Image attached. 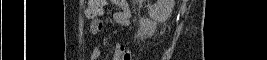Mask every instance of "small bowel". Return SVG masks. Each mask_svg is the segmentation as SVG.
<instances>
[{
	"instance_id": "small-bowel-1",
	"label": "small bowel",
	"mask_w": 267,
	"mask_h": 60,
	"mask_svg": "<svg viewBox=\"0 0 267 60\" xmlns=\"http://www.w3.org/2000/svg\"><path fill=\"white\" fill-rule=\"evenodd\" d=\"M117 6L121 8V11L114 14V20L117 24L127 27L131 22V10L127 1L125 0H114L113 1ZM106 4V1H105ZM96 14L92 13L91 4L88 2V7L86 14L90 19L89 30L91 34L98 35L103 31V22L100 19L101 14L103 13L104 6ZM101 56V48L95 46L91 51V60H98ZM113 60H131L132 55L129 51L125 50V46L122 43H117L113 50Z\"/></svg>"
}]
</instances>
